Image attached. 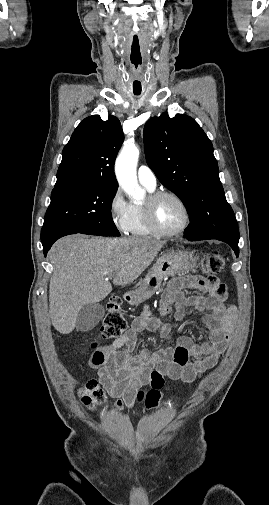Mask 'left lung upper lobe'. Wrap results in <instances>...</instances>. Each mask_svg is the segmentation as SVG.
<instances>
[{"instance_id": "5c2ea615", "label": "left lung upper lobe", "mask_w": 269, "mask_h": 505, "mask_svg": "<svg viewBox=\"0 0 269 505\" xmlns=\"http://www.w3.org/2000/svg\"><path fill=\"white\" fill-rule=\"evenodd\" d=\"M147 164L190 214L186 238L239 240L234 212L219 179L213 146L198 123L185 114L149 119L144 127Z\"/></svg>"}]
</instances>
